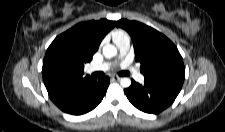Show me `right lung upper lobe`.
<instances>
[{"label":"right lung upper lobe","instance_id":"1","mask_svg":"<svg viewBox=\"0 0 225 132\" xmlns=\"http://www.w3.org/2000/svg\"><path fill=\"white\" fill-rule=\"evenodd\" d=\"M115 21L82 22L54 39L42 67L44 84L51 99H57L90 80L84 65L92 60L104 36Z\"/></svg>","mask_w":225,"mask_h":132}]
</instances>
